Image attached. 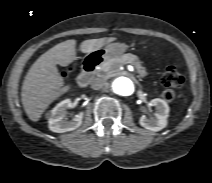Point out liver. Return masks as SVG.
I'll return each instance as SVG.
<instances>
[{"instance_id": "liver-1", "label": "liver", "mask_w": 212, "mask_h": 183, "mask_svg": "<svg viewBox=\"0 0 212 183\" xmlns=\"http://www.w3.org/2000/svg\"><path fill=\"white\" fill-rule=\"evenodd\" d=\"M114 39L85 40L80 44V50L91 53ZM76 59V40L72 39L55 45L34 62L25 76L21 91L22 104L30 120L38 121L45 109L70 89L69 86H64L63 77L56 65L68 66Z\"/></svg>"}]
</instances>
